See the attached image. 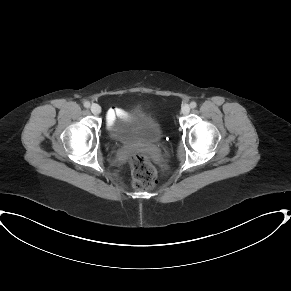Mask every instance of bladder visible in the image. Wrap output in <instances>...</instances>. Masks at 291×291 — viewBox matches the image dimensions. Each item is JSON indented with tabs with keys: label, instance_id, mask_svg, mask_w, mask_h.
<instances>
[{
	"label": "bladder",
	"instance_id": "1",
	"mask_svg": "<svg viewBox=\"0 0 291 291\" xmlns=\"http://www.w3.org/2000/svg\"><path fill=\"white\" fill-rule=\"evenodd\" d=\"M108 132L119 140L133 141L139 139L142 135L153 138L158 137L162 134V128L152 111L138 108L126 112L111 122Z\"/></svg>",
	"mask_w": 291,
	"mask_h": 291
}]
</instances>
